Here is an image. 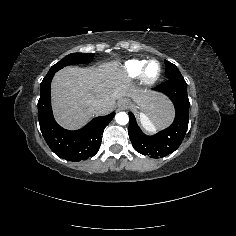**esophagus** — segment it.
I'll use <instances>...</instances> for the list:
<instances>
[{"label":"esophagus","instance_id":"esophagus-1","mask_svg":"<svg viewBox=\"0 0 236 236\" xmlns=\"http://www.w3.org/2000/svg\"><path fill=\"white\" fill-rule=\"evenodd\" d=\"M117 106L120 110H125L129 107V100L127 98H121L118 100Z\"/></svg>","mask_w":236,"mask_h":236}]
</instances>
